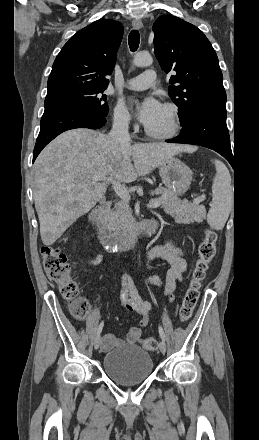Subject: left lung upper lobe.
I'll return each instance as SVG.
<instances>
[{
    "mask_svg": "<svg viewBox=\"0 0 259 440\" xmlns=\"http://www.w3.org/2000/svg\"><path fill=\"white\" fill-rule=\"evenodd\" d=\"M155 55L163 71H173L168 93L180 110V123L204 107L226 110V92L217 55L204 33L174 16L153 25ZM174 84H177L176 86Z\"/></svg>",
    "mask_w": 259,
    "mask_h": 440,
    "instance_id": "5c2ea615",
    "label": "left lung upper lobe"
}]
</instances>
